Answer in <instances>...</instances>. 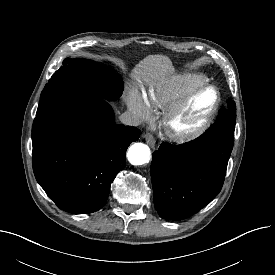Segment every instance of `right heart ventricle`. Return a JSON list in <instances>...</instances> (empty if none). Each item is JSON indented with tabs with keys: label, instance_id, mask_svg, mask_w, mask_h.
Wrapping results in <instances>:
<instances>
[{
	"label": "right heart ventricle",
	"instance_id": "obj_1",
	"mask_svg": "<svg viewBox=\"0 0 275 275\" xmlns=\"http://www.w3.org/2000/svg\"><path fill=\"white\" fill-rule=\"evenodd\" d=\"M207 84L199 74L177 75L148 89L145 101L151 110H166L191 90Z\"/></svg>",
	"mask_w": 275,
	"mask_h": 275
}]
</instances>
